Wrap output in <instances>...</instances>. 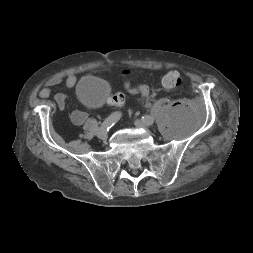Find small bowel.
Wrapping results in <instances>:
<instances>
[{"instance_id": "small-bowel-1", "label": "small bowel", "mask_w": 253, "mask_h": 253, "mask_svg": "<svg viewBox=\"0 0 253 253\" xmlns=\"http://www.w3.org/2000/svg\"><path fill=\"white\" fill-rule=\"evenodd\" d=\"M76 81L77 79L73 74H69L65 78L60 76L52 77L46 82L45 86L41 89V91L39 92V96L42 98H47L49 97L53 87L64 82V84L70 88L75 85ZM55 102L59 109H63L65 107L66 98L63 94L59 93L55 96ZM87 117L88 113L82 110H76L71 114V120L76 125H82L86 121Z\"/></svg>"}]
</instances>
